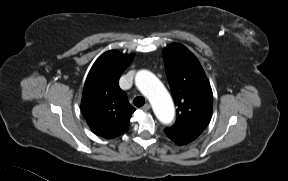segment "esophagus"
I'll return each mask as SVG.
<instances>
[{"label":"esophagus","instance_id":"34e87169","mask_svg":"<svg viewBox=\"0 0 288 181\" xmlns=\"http://www.w3.org/2000/svg\"><path fill=\"white\" fill-rule=\"evenodd\" d=\"M151 108V106H150V104H145L141 109L143 110V111H148L149 109Z\"/></svg>","mask_w":288,"mask_h":181}]
</instances>
